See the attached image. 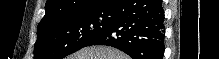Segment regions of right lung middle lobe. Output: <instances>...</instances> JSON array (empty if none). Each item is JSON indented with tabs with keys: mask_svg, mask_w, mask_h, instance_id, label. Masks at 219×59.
<instances>
[{
	"mask_svg": "<svg viewBox=\"0 0 219 59\" xmlns=\"http://www.w3.org/2000/svg\"><path fill=\"white\" fill-rule=\"evenodd\" d=\"M112 14L110 9L40 24L34 59H62L85 47L92 38L109 27Z\"/></svg>",
	"mask_w": 219,
	"mask_h": 59,
	"instance_id": "1",
	"label": "right lung middle lobe"
}]
</instances>
